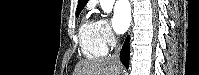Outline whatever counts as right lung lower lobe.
Masks as SVG:
<instances>
[{
	"label": "right lung lower lobe",
	"instance_id": "1",
	"mask_svg": "<svg viewBox=\"0 0 199 75\" xmlns=\"http://www.w3.org/2000/svg\"><path fill=\"white\" fill-rule=\"evenodd\" d=\"M130 36H127L124 45L122 47V50L120 52V60L124 64L126 68L129 67V56H130Z\"/></svg>",
	"mask_w": 199,
	"mask_h": 75
}]
</instances>
